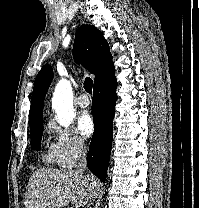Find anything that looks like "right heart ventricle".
Listing matches in <instances>:
<instances>
[{"label": "right heart ventricle", "instance_id": "obj_1", "mask_svg": "<svg viewBox=\"0 0 199 208\" xmlns=\"http://www.w3.org/2000/svg\"><path fill=\"white\" fill-rule=\"evenodd\" d=\"M43 159L47 164L55 165L59 163L55 154L52 151H49L46 154H44Z\"/></svg>", "mask_w": 199, "mask_h": 208}]
</instances>
